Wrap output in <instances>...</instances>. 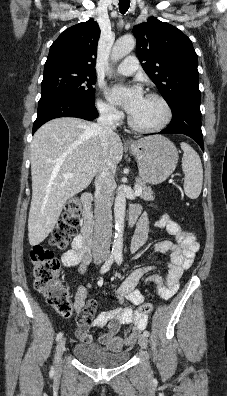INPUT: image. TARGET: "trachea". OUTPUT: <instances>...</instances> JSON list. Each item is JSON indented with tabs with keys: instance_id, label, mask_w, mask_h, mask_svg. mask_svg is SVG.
I'll return each mask as SVG.
<instances>
[{
	"instance_id": "obj_1",
	"label": "trachea",
	"mask_w": 227,
	"mask_h": 396,
	"mask_svg": "<svg viewBox=\"0 0 227 396\" xmlns=\"http://www.w3.org/2000/svg\"><path fill=\"white\" fill-rule=\"evenodd\" d=\"M130 7V0H119L120 13L124 14Z\"/></svg>"
}]
</instances>
